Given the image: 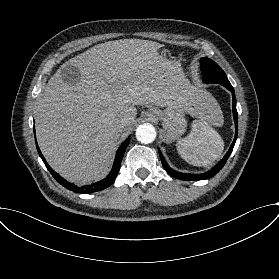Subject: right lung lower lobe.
I'll return each instance as SVG.
<instances>
[{"label": "right lung lower lobe", "mask_w": 279, "mask_h": 279, "mask_svg": "<svg viewBox=\"0 0 279 279\" xmlns=\"http://www.w3.org/2000/svg\"><path fill=\"white\" fill-rule=\"evenodd\" d=\"M129 142H130V138H127L124 141V143L120 146V148L118 149L116 156H115L112 170L110 171V173L108 174V176L106 178H104L103 180L98 181L96 183L83 185V186H76L73 183H70V182L66 181L64 178H62L58 173H56L48 165V163L46 162L45 158L43 157L37 143H36V147H37L38 153L41 156L43 162L45 163L47 169L50 171L52 176L55 178V180L59 184H61L63 187H65L73 192L86 194V193H94L97 191L104 190L114 182V180L117 177V174L120 170L121 161H122L123 155L125 153V150L129 144Z\"/></svg>", "instance_id": "right-lung-lower-lobe-1"}]
</instances>
